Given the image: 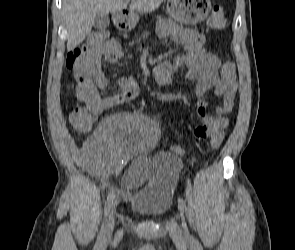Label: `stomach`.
<instances>
[{"label": "stomach", "mask_w": 295, "mask_h": 250, "mask_svg": "<svg viewBox=\"0 0 295 250\" xmlns=\"http://www.w3.org/2000/svg\"><path fill=\"white\" fill-rule=\"evenodd\" d=\"M210 9V0H167V11L169 15L180 23H199L207 17ZM138 20V14L131 13L126 17L122 26L132 29Z\"/></svg>", "instance_id": "1"}]
</instances>
